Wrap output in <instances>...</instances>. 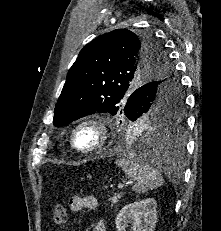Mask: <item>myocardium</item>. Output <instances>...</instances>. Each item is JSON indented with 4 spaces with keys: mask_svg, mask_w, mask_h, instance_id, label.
I'll use <instances>...</instances> for the list:
<instances>
[{
    "mask_svg": "<svg viewBox=\"0 0 221 231\" xmlns=\"http://www.w3.org/2000/svg\"><path fill=\"white\" fill-rule=\"evenodd\" d=\"M85 126H93L98 132L97 143L89 149L81 148L80 146H78L76 142V134L81 128ZM109 139L110 131L108 122L102 116L93 115L85 117L81 119L79 122H77V124L74 126L71 132L70 143L78 153L89 155L104 149L108 145Z\"/></svg>",
    "mask_w": 221,
    "mask_h": 231,
    "instance_id": "f54148a6",
    "label": "myocardium"
}]
</instances>
